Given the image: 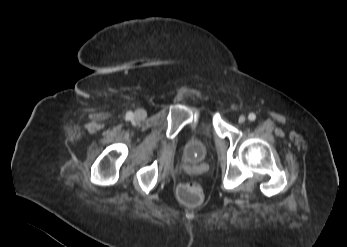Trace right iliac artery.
Here are the masks:
<instances>
[{
  "mask_svg": "<svg viewBox=\"0 0 347 247\" xmlns=\"http://www.w3.org/2000/svg\"><path fill=\"white\" fill-rule=\"evenodd\" d=\"M133 118V113L131 111L126 113V119H132Z\"/></svg>",
  "mask_w": 347,
  "mask_h": 247,
  "instance_id": "82829eb1",
  "label": "right iliac artery"
}]
</instances>
